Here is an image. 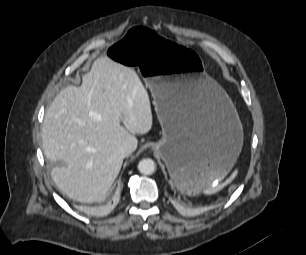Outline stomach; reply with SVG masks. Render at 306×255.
Instances as JSON below:
<instances>
[{
	"mask_svg": "<svg viewBox=\"0 0 306 255\" xmlns=\"http://www.w3.org/2000/svg\"><path fill=\"white\" fill-rule=\"evenodd\" d=\"M113 61L136 66L150 89L162 127L153 150L176 188L194 195L222 180L243 145V129L225 90L194 50L157 30L131 25L108 51Z\"/></svg>",
	"mask_w": 306,
	"mask_h": 255,
	"instance_id": "1",
	"label": "stomach"
}]
</instances>
